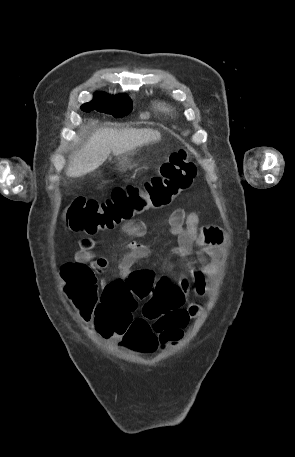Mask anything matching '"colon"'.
Wrapping results in <instances>:
<instances>
[{"instance_id": "1", "label": "colon", "mask_w": 295, "mask_h": 457, "mask_svg": "<svg viewBox=\"0 0 295 457\" xmlns=\"http://www.w3.org/2000/svg\"><path fill=\"white\" fill-rule=\"evenodd\" d=\"M195 175V164L185 149H179L141 186L116 187L104 200L76 197L66 209L65 224L73 232L89 235L112 229L147 210L172 204L191 186ZM61 276L68 298L83 318L93 317L103 337L120 338L134 355H156L159 345L174 343L183 335L188 312L175 299L176 287L168 278L137 269L125 281L107 284L99 299L96 276L88 264L66 263ZM136 298H148L143 318L132 317Z\"/></svg>"}]
</instances>
